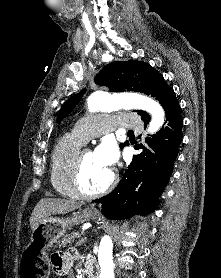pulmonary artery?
<instances>
[{"instance_id":"e3ab8cb5","label":"pulmonary artery","mask_w":221,"mask_h":278,"mask_svg":"<svg viewBox=\"0 0 221 278\" xmlns=\"http://www.w3.org/2000/svg\"><path fill=\"white\" fill-rule=\"evenodd\" d=\"M115 127L120 129H142V121L133 114L123 116H101L94 119L78 122L72 134L82 142H87L89 139L98 137Z\"/></svg>"}]
</instances>
